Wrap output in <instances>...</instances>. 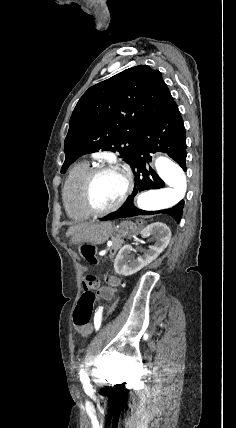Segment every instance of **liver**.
I'll use <instances>...</instances> for the list:
<instances>
[{"label":"liver","mask_w":236,"mask_h":428,"mask_svg":"<svg viewBox=\"0 0 236 428\" xmlns=\"http://www.w3.org/2000/svg\"><path fill=\"white\" fill-rule=\"evenodd\" d=\"M84 226H86V224H76V226H70L69 230H67L66 232V236L68 238V236H77V234H80L81 230H83Z\"/></svg>","instance_id":"liver-1"}]
</instances>
